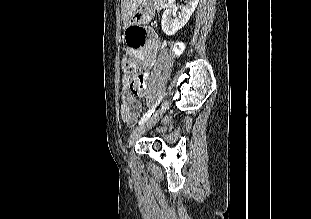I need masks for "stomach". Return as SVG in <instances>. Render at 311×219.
<instances>
[{
    "label": "stomach",
    "mask_w": 311,
    "mask_h": 219,
    "mask_svg": "<svg viewBox=\"0 0 311 219\" xmlns=\"http://www.w3.org/2000/svg\"><path fill=\"white\" fill-rule=\"evenodd\" d=\"M153 0H136V5L137 7L142 6L140 9L134 10L132 15L128 19V23L130 24H136V23H141V24H147L151 21L153 17V7H152V2Z\"/></svg>",
    "instance_id": "1"
}]
</instances>
